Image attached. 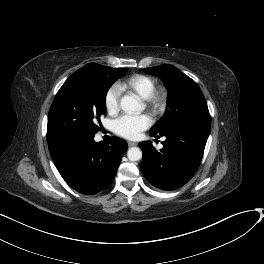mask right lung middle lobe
I'll list each match as a JSON object with an SVG mask.
<instances>
[{
    "label": "right lung middle lobe",
    "instance_id": "right-lung-middle-lobe-1",
    "mask_svg": "<svg viewBox=\"0 0 264 264\" xmlns=\"http://www.w3.org/2000/svg\"><path fill=\"white\" fill-rule=\"evenodd\" d=\"M125 69L90 63L74 72L57 92L50 107L47 141L88 138L100 130L106 94Z\"/></svg>",
    "mask_w": 264,
    "mask_h": 264
}]
</instances>
